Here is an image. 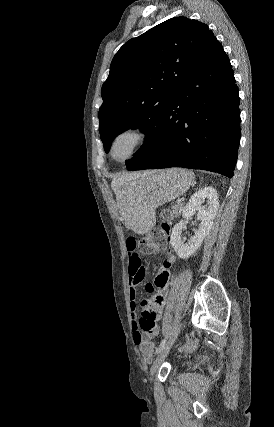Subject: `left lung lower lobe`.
Instances as JSON below:
<instances>
[{
  "instance_id": "1",
  "label": "left lung lower lobe",
  "mask_w": 274,
  "mask_h": 427,
  "mask_svg": "<svg viewBox=\"0 0 274 427\" xmlns=\"http://www.w3.org/2000/svg\"><path fill=\"white\" fill-rule=\"evenodd\" d=\"M239 141L238 88L228 56L214 37L177 90L151 148L126 168L184 167L232 178Z\"/></svg>"
}]
</instances>
